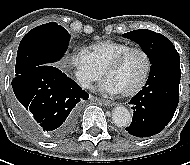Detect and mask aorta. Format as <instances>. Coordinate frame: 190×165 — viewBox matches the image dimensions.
Wrapping results in <instances>:
<instances>
[{
	"label": "aorta",
	"instance_id": "aorta-1",
	"mask_svg": "<svg viewBox=\"0 0 190 165\" xmlns=\"http://www.w3.org/2000/svg\"><path fill=\"white\" fill-rule=\"evenodd\" d=\"M112 120L118 127H126L131 123V114L123 106H117L112 112Z\"/></svg>",
	"mask_w": 190,
	"mask_h": 165
}]
</instances>
